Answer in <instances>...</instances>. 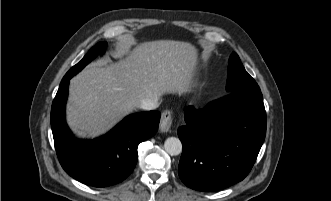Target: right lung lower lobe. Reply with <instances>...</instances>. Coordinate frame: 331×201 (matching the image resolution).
I'll return each instance as SVG.
<instances>
[{"label":"right lung lower lobe","instance_id":"1","mask_svg":"<svg viewBox=\"0 0 331 201\" xmlns=\"http://www.w3.org/2000/svg\"><path fill=\"white\" fill-rule=\"evenodd\" d=\"M69 80L61 81L51 109V127L60 164L71 177L86 185L106 187L117 184L134 170L137 147L156 133L160 112L132 114L98 139L78 140L65 121Z\"/></svg>","mask_w":331,"mask_h":201}]
</instances>
